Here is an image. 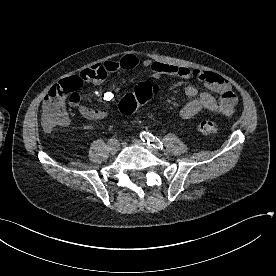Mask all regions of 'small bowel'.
Wrapping results in <instances>:
<instances>
[{"label": "small bowel", "instance_id": "c3829d8e", "mask_svg": "<svg viewBox=\"0 0 276 276\" xmlns=\"http://www.w3.org/2000/svg\"><path fill=\"white\" fill-rule=\"evenodd\" d=\"M139 65L148 69L151 76L155 79L164 75L183 79L193 78L203 82L209 90L217 94V96H213L208 92L200 91L193 85H187L184 88V92L190 100L179 112L182 119H191L202 110L224 116H230L234 113L238 100L237 96L233 91L231 84L219 74L211 71L189 69L187 67L154 62L151 59H144L141 61L139 57L134 54H127L118 60H107L97 63L82 70L79 75L71 78H78L82 83L100 85L106 80L108 75L120 70H131ZM94 95L100 97L105 104L97 108L83 105L81 104L79 93H77L74 98H69L68 102L69 105L76 108L85 119L91 121L102 120L108 115V107L106 103L110 102L114 95L112 92L100 91H95ZM49 102V97L47 95L43 102V110L47 109ZM62 105L64 107V102Z\"/></svg>", "mask_w": 276, "mask_h": 276}]
</instances>
